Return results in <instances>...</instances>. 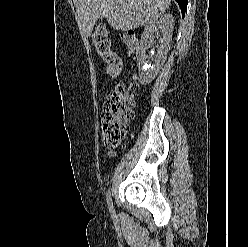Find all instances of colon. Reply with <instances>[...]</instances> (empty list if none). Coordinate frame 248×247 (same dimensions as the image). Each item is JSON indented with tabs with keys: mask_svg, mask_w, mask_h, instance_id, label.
<instances>
[{
	"mask_svg": "<svg viewBox=\"0 0 248 247\" xmlns=\"http://www.w3.org/2000/svg\"><path fill=\"white\" fill-rule=\"evenodd\" d=\"M128 53L132 54L137 47V37L134 33L121 34ZM94 49L103 58L105 72L116 77L121 73L122 61L111 49L109 30L107 26H98L92 34ZM137 89L135 82L127 85L119 84L112 90L103 106L101 116V134L104 145L109 149L120 146L129 130V124L134 116V100L132 92Z\"/></svg>",
	"mask_w": 248,
	"mask_h": 247,
	"instance_id": "colon-1",
	"label": "colon"
}]
</instances>
